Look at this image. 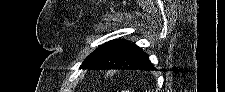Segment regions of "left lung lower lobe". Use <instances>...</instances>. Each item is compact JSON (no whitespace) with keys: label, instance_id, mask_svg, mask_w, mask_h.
Returning a JSON list of instances; mask_svg holds the SVG:
<instances>
[{"label":"left lung lower lobe","instance_id":"1","mask_svg":"<svg viewBox=\"0 0 225 92\" xmlns=\"http://www.w3.org/2000/svg\"><path fill=\"white\" fill-rule=\"evenodd\" d=\"M128 69V70H155L148 55L135 43H129L105 59L94 70Z\"/></svg>","mask_w":225,"mask_h":92}]
</instances>
